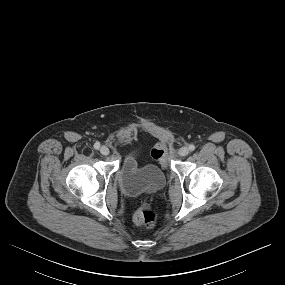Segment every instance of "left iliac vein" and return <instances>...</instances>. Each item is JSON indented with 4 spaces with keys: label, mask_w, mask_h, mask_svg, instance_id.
<instances>
[{
    "label": "left iliac vein",
    "mask_w": 285,
    "mask_h": 285,
    "mask_svg": "<svg viewBox=\"0 0 285 285\" xmlns=\"http://www.w3.org/2000/svg\"><path fill=\"white\" fill-rule=\"evenodd\" d=\"M178 154L180 155V156H187L188 154H189V149H188V147H186V146H184V147H182V148H180L179 149V151H178Z\"/></svg>",
    "instance_id": "4c4485c4"
}]
</instances>
